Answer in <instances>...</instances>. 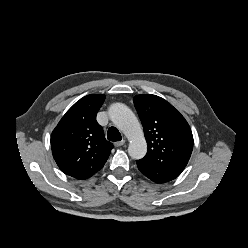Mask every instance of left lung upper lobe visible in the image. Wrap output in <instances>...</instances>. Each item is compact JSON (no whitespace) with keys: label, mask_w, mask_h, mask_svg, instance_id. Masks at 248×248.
<instances>
[{"label":"left lung upper lobe","mask_w":248,"mask_h":248,"mask_svg":"<svg viewBox=\"0 0 248 248\" xmlns=\"http://www.w3.org/2000/svg\"><path fill=\"white\" fill-rule=\"evenodd\" d=\"M134 104L148 145L147 154L141 160L180 174L193 149L189 124L176 108L156 95H136Z\"/></svg>","instance_id":"obj_1"}]
</instances>
